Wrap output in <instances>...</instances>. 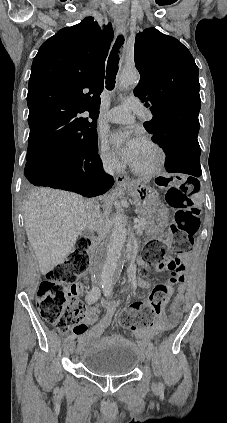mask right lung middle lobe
I'll return each mask as SVG.
<instances>
[{"instance_id": "dd1d6c3e", "label": "right lung middle lobe", "mask_w": 227, "mask_h": 423, "mask_svg": "<svg viewBox=\"0 0 227 423\" xmlns=\"http://www.w3.org/2000/svg\"><path fill=\"white\" fill-rule=\"evenodd\" d=\"M97 148V133L88 135L87 137L83 138L82 140L75 142L69 146H66L61 149H57L64 155H76L81 154L90 150H94ZM41 154L36 155H27L26 160L30 161L34 158L39 157Z\"/></svg>"}]
</instances>
